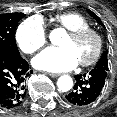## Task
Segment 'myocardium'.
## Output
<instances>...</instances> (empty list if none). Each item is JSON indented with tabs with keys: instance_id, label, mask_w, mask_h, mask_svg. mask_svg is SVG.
I'll return each mask as SVG.
<instances>
[{
	"instance_id": "obj_1",
	"label": "myocardium",
	"mask_w": 117,
	"mask_h": 117,
	"mask_svg": "<svg viewBox=\"0 0 117 117\" xmlns=\"http://www.w3.org/2000/svg\"><path fill=\"white\" fill-rule=\"evenodd\" d=\"M68 35L74 40H79L81 38H84V37L90 35V36H93L96 41V46H95V49H94L92 55L87 59L79 61V64L81 66H83V67L90 66L99 59V57L102 53L103 44H104L103 37L99 31H97L93 28L87 27V28H82V29H78V30H74V31H69Z\"/></svg>"
}]
</instances>
